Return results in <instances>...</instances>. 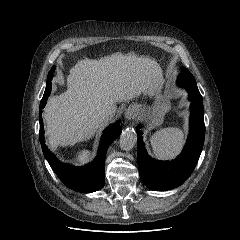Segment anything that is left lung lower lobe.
I'll return each mask as SVG.
<instances>
[{
	"mask_svg": "<svg viewBox=\"0 0 240 240\" xmlns=\"http://www.w3.org/2000/svg\"><path fill=\"white\" fill-rule=\"evenodd\" d=\"M178 85L188 91L191 101L189 137L181 154L171 161L151 159L137 127V160L141 180L151 190L166 191L182 185L191 175L199 160L205 138L203 99L193 75L181 73Z\"/></svg>",
	"mask_w": 240,
	"mask_h": 240,
	"instance_id": "left-lung-lower-lobe-1",
	"label": "left lung lower lobe"
}]
</instances>
